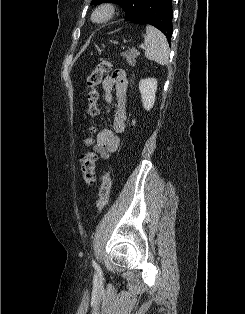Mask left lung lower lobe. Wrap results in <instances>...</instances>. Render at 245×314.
<instances>
[{"label": "left lung lower lobe", "instance_id": "1", "mask_svg": "<svg viewBox=\"0 0 245 314\" xmlns=\"http://www.w3.org/2000/svg\"><path fill=\"white\" fill-rule=\"evenodd\" d=\"M172 14V0H144L137 13L127 20L155 26L170 42L173 31Z\"/></svg>", "mask_w": 245, "mask_h": 314}]
</instances>
